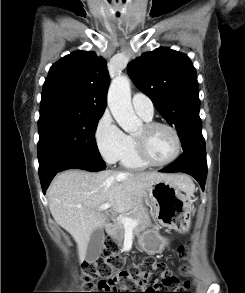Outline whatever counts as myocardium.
<instances>
[{
	"label": "myocardium",
	"mask_w": 245,
	"mask_h": 293,
	"mask_svg": "<svg viewBox=\"0 0 245 293\" xmlns=\"http://www.w3.org/2000/svg\"><path fill=\"white\" fill-rule=\"evenodd\" d=\"M158 127H162V128H166L168 129L174 137V141H175V151L173 153V155L162 162H155L153 161L147 154L146 152V148H145V144L143 143V141H141L140 139H138L137 137H134V141H135V147H136V152L138 157L140 158V160L145 163L148 166H153V167H162V166H166L171 164L172 162H174L180 155L181 153V138L180 135L178 133V131L171 125L167 124V123H163V122H147L144 125V128L146 130H152Z\"/></svg>",
	"instance_id": "f54148a6"
}]
</instances>
